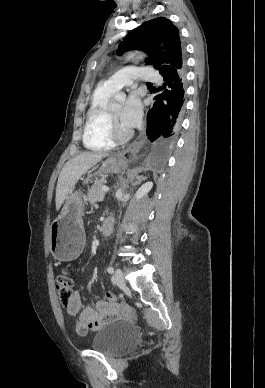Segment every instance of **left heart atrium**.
I'll return each instance as SVG.
<instances>
[{"instance_id":"39dd6f15","label":"left heart atrium","mask_w":265,"mask_h":388,"mask_svg":"<svg viewBox=\"0 0 265 388\" xmlns=\"http://www.w3.org/2000/svg\"><path fill=\"white\" fill-rule=\"evenodd\" d=\"M142 117V105L139 97L133 93L127 97L121 113V122L128 127L136 126Z\"/></svg>"}]
</instances>
